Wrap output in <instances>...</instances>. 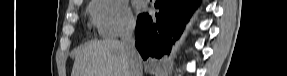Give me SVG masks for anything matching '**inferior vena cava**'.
Masks as SVG:
<instances>
[{
    "label": "inferior vena cava",
    "mask_w": 287,
    "mask_h": 76,
    "mask_svg": "<svg viewBox=\"0 0 287 76\" xmlns=\"http://www.w3.org/2000/svg\"><path fill=\"white\" fill-rule=\"evenodd\" d=\"M134 30L135 23H129L121 35V43L130 66L129 76H142L141 57L135 47Z\"/></svg>",
    "instance_id": "602c4592"
}]
</instances>
